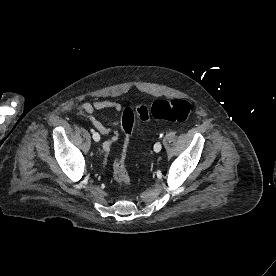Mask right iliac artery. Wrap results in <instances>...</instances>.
Instances as JSON below:
<instances>
[{"instance_id": "1", "label": "right iliac artery", "mask_w": 276, "mask_h": 276, "mask_svg": "<svg viewBox=\"0 0 276 276\" xmlns=\"http://www.w3.org/2000/svg\"><path fill=\"white\" fill-rule=\"evenodd\" d=\"M92 133H94L95 131H94V129H91L90 130ZM100 140V136L98 137V138H96V141H99Z\"/></svg>"}]
</instances>
